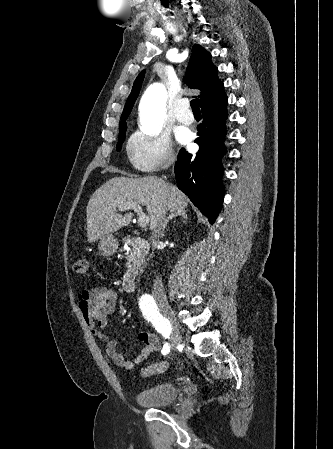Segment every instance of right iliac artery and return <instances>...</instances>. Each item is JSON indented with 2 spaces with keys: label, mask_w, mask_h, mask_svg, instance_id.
I'll return each mask as SVG.
<instances>
[{
  "label": "right iliac artery",
  "mask_w": 333,
  "mask_h": 449,
  "mask_svg": "<svg viewBox=\"0 0 333 449\" xmlns=\"http://www.w3.org/2000/svg\"><path fill=\"white\" fill-rule=\"evenodd\" d=\"M140 309L143 316L151 322L157 332L162 334L164 338H169L171 327L167 319H165L158 311V307L150 295H143L139 301ZM170 352V346L166 342L162 349V354H168Z\"/></svg>",
  "instance_id": "82829eb1"
}]
</instances>
